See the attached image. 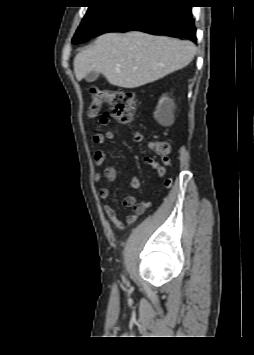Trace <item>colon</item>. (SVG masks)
Wrapping results in <instances>:
<instances>
[{
	"mask_svg": "<svg viewBox=\"0 0 254 355\" xmlns=\"http://www.w3.org/2000/svg\"><path fill=\"white\" fill-rule=\"evenodd\" d=\"M91 102L88 109V115L92 118L100 115L104 104H109L112 108L114 119L121 124H131L134 120L136 111V98L132 91L122 88H92ZM102 118L100 122H104ZM135 141L141 142L143 136L136 133ZM148 148L159 156H166L170 152L168 141H152L148 143ZM173 184L172 178L164 181V187L169 188Z\"/></svg>",
	"mask_w": 254,
	"mask_h": 355,
	"instance_id": "5ec220e1",
	"label": "colon"
}]
</instances>
